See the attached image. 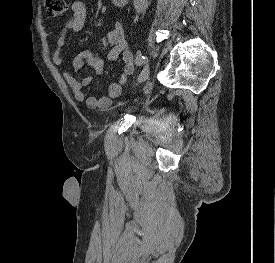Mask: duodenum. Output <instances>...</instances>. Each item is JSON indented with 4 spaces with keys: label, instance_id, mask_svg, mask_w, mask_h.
<instances>
[{
    "label": "duodenum",
    "instance_id": "duodenum-1",
    "mask_svg": "<svg viewBox=\"0 0 275 263\" xmlns=\"http://www.w3.org/2000/svg\"><path fill=\"white\" fill-rule=\"evenodd\" d=\"M111 1L117 7L125 6L127 3V0H111Z\"/></svg>",
    "mask_w": 275,
    "mask_h": 263
}]
</instances>
